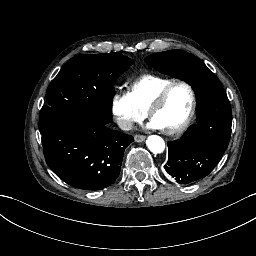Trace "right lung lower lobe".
I'll list each match as a JSON object with an SVG mask.
<instances>
[{
  "mask_svg": "<svg viewBox=\"0 0 256 256\" xmlns=\"http://www.w3.org/2000/svg\"><path fill=\"white\" fill-rule=\"evenodd\" d=\"M84 120L79 129L54 124L42 132L43 151L52 171L67 184L101 190L115 182L131 135Z\"/></svg>",
  "mask_w": 256,
  "mask_h": 256,
  "instance_id": "98d812e1",
  "label": "right lung lower lobe"
}]
</instances>
